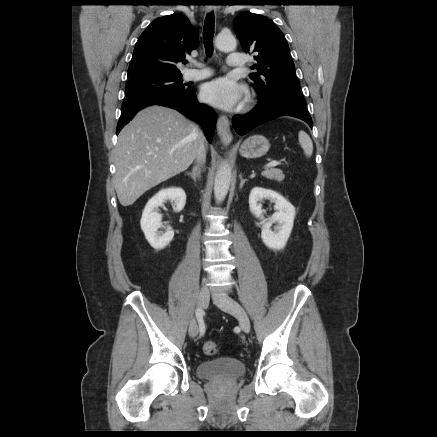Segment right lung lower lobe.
<instances>
[{"instance_id": "right-lung-lower-lobe-1", "label": "right lung lower lobe", "mask_w": 437, "mask_h": 437, "mask_svg": "<svg viewBox=\"0 0 437 437\" xmlns=\"http://www.w3.org/2000/svg\"><path fill=\"white\" fill-rule=\"evenodd\" d=\"M154 104L174 108L188 118L200 123L208 141H212L216 116L210 107L197 101L194 89H186L184 92H161L126 100V103L121 107L117 134L134 117L136 112Z\"/></svg>"}]
</instances>
